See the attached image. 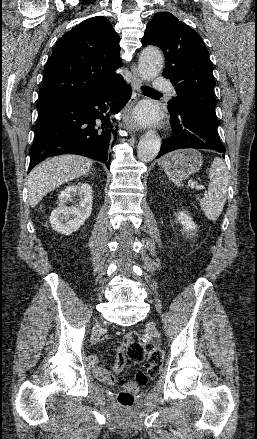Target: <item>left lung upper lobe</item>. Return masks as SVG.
<instances>
[{
  "label": "left lung upper lobe",
  "mask_w": 257,
  "mask_h": 439,
  "mask_svg": "<svg viewBox=\"0 0 257 439\" xmlns=\"http://www.w3.org/2000/svg\"><path fill=\"white\" fill-rule=\"evenodd\" d=\"M144 47L158 46L165 55L163 76L175 86L177 97L168 102L171 111L198 107L216 117L215 79L202 38L169 12H159L147 24Z\"/></svg>",
  "instance_id": "left-lung-upper-lobe-1"
}]
</instances>
